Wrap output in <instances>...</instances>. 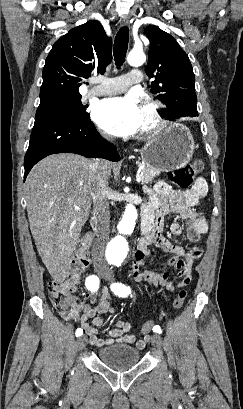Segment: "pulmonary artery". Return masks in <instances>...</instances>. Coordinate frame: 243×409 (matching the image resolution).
<instances>
[{"label":"pulmonary artery","instance_id":"obj_1","mask_svg":"<svg viewBox=\"0 0 243 409\" xmlns=\"http://www.w3.org/2000/svg\"><path fill=\"white\" fill-rule=\"evenodd\" d=\"M142 79L140 70L134 69L125 75L113 78L98 77L97 85L88 92L89 96H104L121 93L127 90L131 85L139 83Z\"/></svg>","mask_w":243,"mask_h":409}]
</instances>
